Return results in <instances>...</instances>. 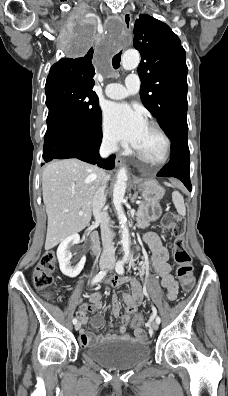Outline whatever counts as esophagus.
Here are the masks:
<instances>
[{"instance_id":"34e87169","label":"esophagus","mask_w":228,"mask_h":396,"mask_svg":"<svg viewBox=\"0 0 228 396\" xmlns=\"http://www.w3.org/2000/svg\"><path fill=\"white\" fill-rule=\"evenodd\" d=\"M123 22L126 27H130L132 21V15L129 11H125L122 15ZM123 164V159L120 156L116 157V165L121 166Z\"/></svg>"}]
</instances>
